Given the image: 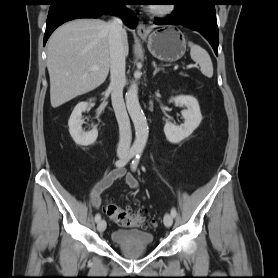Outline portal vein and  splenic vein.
Masks as SVG:
<instances>
[{
	"mask_svg": "<svg viewBox=\"0 0 278 278\" xmlns=\"http://www.w3.org/2000/svg\"><path fill=\"white\" fill-rule=\"evenodd\" d=\"M192 67H193L192 65H188V66H186V69H191ZM90 69H91L92 71H98V70H99V67L96 66V65H93V66L90 67Z\"/></svg>",
	"mask_w": 278,
	"mask_h": 278,
	"instance_id": "18ae733b",
	"label": "portal vein and splenic vein"
}]
</instances>
